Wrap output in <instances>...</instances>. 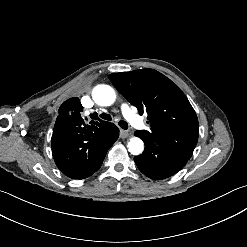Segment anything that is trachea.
Masks as SVG:
<instances>
[{"mask_svg": "<svg viewBox=\"0 0 247 247\" xmlns=\"http://www.w3.org/2000/svg\"><path fill=\"white\" fill-rule=\"evenodd\" d=\"M100 117L101 118H103V119H105V120H107V121H111L112 120V118H111V116L109 115V114H106V113H102L101 115H100ZM119 126L121 127V128H123V129H127L128 128V124H127V122L126 121H119Z\"/></svg>", "mask_w": 247, "mask_h": 247, "instance_id": "trachea-1", "label": "trachea"}]
</instances>
